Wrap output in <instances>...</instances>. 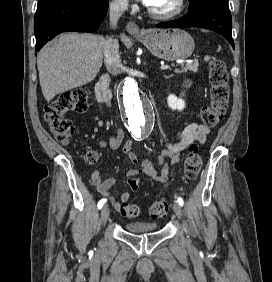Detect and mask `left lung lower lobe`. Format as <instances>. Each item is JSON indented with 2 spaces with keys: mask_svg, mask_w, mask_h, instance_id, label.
Listing matches in <instances>:
<instances>
[{
  "mask_svg": "<svg viewBox=\"0 0 272 282\" xmlns=\"http://www.w3.org/2000/svg\"><path fill=\"white\" fill-rule=\"evenodd\" d=\"M186 15L176 21L157 25L160 28L201 27L216 31L223 35L234 48L231 28V13L228 0H189Z\"/></svg>",
  "mask_w": 272,
  "mask_h": 282,
  "instance_id": "obj_1",
  "label": "left lung lower lobe"
}]
</instances>
